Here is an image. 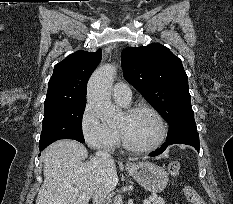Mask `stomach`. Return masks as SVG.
I'll use <instances>...</instances> for the list:
<instances>
[{"label": "stomach", "mask_w": 233, "mask_h": 204, "mask_svg": "<svg viewBox=\"0 0 233 204\" xmlns=\"http://www.w3.org/2000/svg\"><path fill=\"white\" fill-rule=\"evenodd\" d=\"M126 169L142 187L153 194L163 191L167 186V172L151 162H138L128 165Z\"/></svg>", "instance_id": "stomach-1"}]
</instances>
